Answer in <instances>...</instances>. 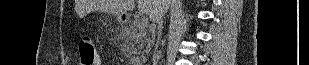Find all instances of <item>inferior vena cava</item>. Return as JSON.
<instances>
[{
	"label": "inferior vena cava",
	"mask_w": 309,
	"mask_h": 65,
	"mask_svg": "<svg viewBox=\"0 0 309 65\" xmlns=\"http://www.w3.org/2000/svg\"><path fill=\"white\" fill-rule=\"evenodd\" d=\"M163 4H164V14L161 17V19L158 21V37L160 38L161 33H162V29H163V19H164V15L165 12L167 11V9L169 8L170 5V0H162ZM158 61H159V52L156 49L153 55V65H158Z\"/></svg>",
	"instance_id": "602c4592"
}]
</instances>
